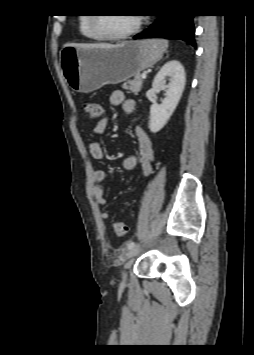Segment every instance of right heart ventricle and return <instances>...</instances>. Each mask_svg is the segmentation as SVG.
I'll list each match as a JSON object with an SVG mask.
<instances>
[{
    "label": "right heart ventricle",
    "instance_id": "1",
    "mask_svg": "<svg viewBox=\"0 0 254 355\" xmlns=\"http://www.w3.org/2000/svg\"><path fill=\"white\" fill-rule=\"evenodd\" d=\"M91 18L88 15L81 16L79 19V29L81 34L89 40H99V37L91 29Z\"/></svg>",
    "mask_w": 254,
    "mask_h": 355
}]
</instances>
